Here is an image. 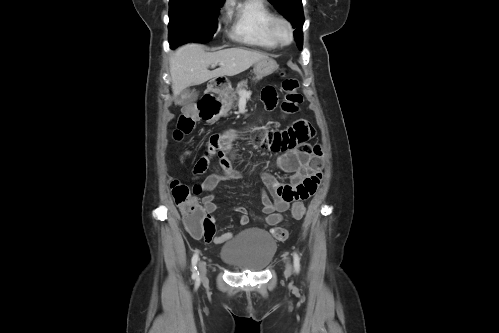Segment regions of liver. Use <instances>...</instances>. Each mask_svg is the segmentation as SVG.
Instances as JSON below:
<instances>
[{"instance_id":"1","label":"liver","mask_w":499,"mask_h":333,"mask_svg":"<svg viewBox=\"0 0 499 333\" xmlns=\"http://www.w3.org/2000/svg\"><path fill=\"white\" fill-rule=\"evenodd\" d=\"M269 58L267 54L243 48H228L205 52L202 45L190 43L179 47L170 58V74L174 96L184 89L200 85L212 78L234 76L249 69L256 62ZM213 63L223 64L210 71Z\"/></svg>"}]
</instances>
